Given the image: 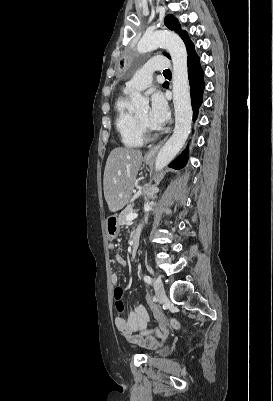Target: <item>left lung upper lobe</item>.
<instances>
[{"instance_id": "1", "label": "left lung upper lobe", "mask_w": 273, "mask_h": 401, "mask_svg": "<svg viewBox=\"0 0 273 401\" xmlns=\"http://www.w3.org/2000/svg\"><path fill=\"white\" fill-rule=\"evenodd\" d=\"M164 23H165V26L167 28H169L170 30H174L177 33H179V35L183 39L186 47L192 43L190 41L189 37L187 36L186 31H183V30L180 29V24H179L178 20L173 15H170V14L167 15L165 17ZM163 54L166 55L168 58H170L168 53L164 52Z\"/></svg>"}]
</instances>
